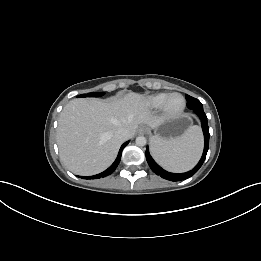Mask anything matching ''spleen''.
Returning a JSON list of instances; mask_svg holds the SVG:
<instances>
[{"instance_id": "spleen-1", "label": "spleen", "mask_w": 261, "mask_h": 261, "mask_svg": "<svg viewBox=\"0 0 261 261\" xmlns=\"http://www.w3.org/2000/svg\"><path fill=\"white\" fill-rule=\"evenodd\" d=\"M203 138L198 126H190L173 139L152 138L151 152L155 160L171 172H185L199 160Z\"/></svg>"}]
</instances>
